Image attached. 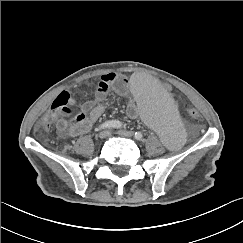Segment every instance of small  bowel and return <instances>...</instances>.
Listing matches in <instances>:
<instances>
[{
    "label": "small bowel",
    "mask_w": 243,
    "mask_h": 243,
    "mask_svg": "<svg viewBox=\"0 0 243 243\" xmlns=\"http://www.w3.org/2000/svg\"><path fill=\"white\" fill-rule=\"evenodd\" d=\"M128 79L121 74L108 73L101 76L97 93L92 100L85 102L78 114L72 119L58 118L57 130L60 135L64 137H76L89 132L93 124L105 111L104 101L109 94L110 88L115 89L120 94H125L128 90ZM64 113L62 115H69ZM127 115L130 118H137L139 116V109L131 103L127 108Z\"/></svg>",
    "instance_id": "1"
}]
</instances>
